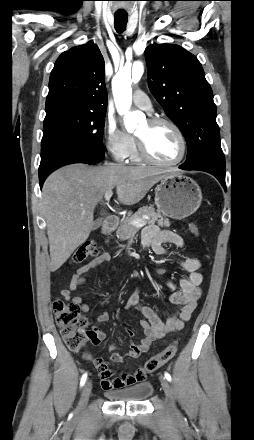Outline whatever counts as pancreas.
<instances>
[{"label":"pancreas","instance_id":"cf45deb5","mask_svg":"<svg viewBox=\"0 0 254 440\" xmlns=\"http://www.w3.org/2000/svg\"><path fill=\"white\" fill-rule=\"evenodd\" d=\"M144 215L148 216L149 219H145ZM135 219H141L146 224L157 223L160 227L170 226L169 219L165 218L159 211H156L153 207L144 206L138 209V211L133 215L121 220L120 226L118 227L116 232L117 237L120 240H127L138 232L139 227L130 224V222Z\"/></svg>","mask_w":254,"mask_h":440}]
</instances>
